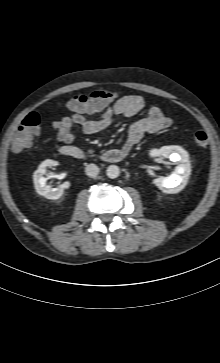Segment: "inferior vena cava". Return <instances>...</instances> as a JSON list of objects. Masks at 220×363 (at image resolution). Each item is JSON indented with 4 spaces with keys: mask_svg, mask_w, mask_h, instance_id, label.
Returning <instances> with one entry per match:
<instances>
[{
    "mask_svg": "<svg viewBox=\"0 0 220 363\" xmlns=\"http://www.w3.org/2000/svg\"><path fill=\"white\" fill-rule=\"evenodd\" d=\"M85 173H86L87 176H89L91 178H94V177H96L98 175L99 168L95 164H89L85 168Z\"/></svg>",
    "mask_w": 220,
    "mask_h": 363,
    "instance_id": "obj_1",
    "label": "inferior vena cava"
}]
</instances>
